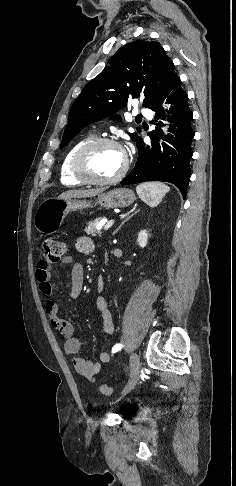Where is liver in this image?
<instances>
[{
	"label": "liver",
	"instance_id": "obj_1",
	"mask_svg": "<svg viewBox=\"0 0 236 486\" xmlns=\"http://www.w3.org/2000/svg\"><path fill=\"white\" fill-rule=\"evenodd\" d=\"M102 189H90V190H69L58 196L60 199H72V198H86L93 197L102 192Z\"/></svg>",
	"mask_w": 236,
	"mask_h": 486
}]
</instances>
